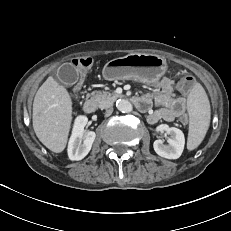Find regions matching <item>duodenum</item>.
I'll list each match as a JSON object with an SVG mask.
<instances>
[{"mask_svg":"<svg viewBox=\"0 0 231 231\" xmlns=\"http://www.w3.org/2000/svg\"><path fill=\"white\" fill-rule=\"evenodd\" d=\"M132 101L138 110L140 111L146 110L147 104L144 102V100L141 97H134ZM96 109H97V103L93 98L89 97L84 101L83 110L85 113L92 114L96 111Z\"/></svg>","mask_w":231,"mask_h":231,"instance_id":"410a0bca","label":"duodenum"}]
</instances>
